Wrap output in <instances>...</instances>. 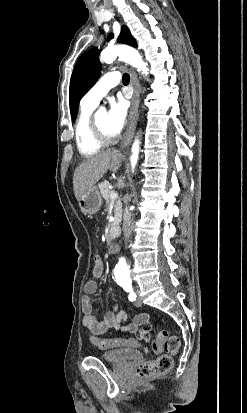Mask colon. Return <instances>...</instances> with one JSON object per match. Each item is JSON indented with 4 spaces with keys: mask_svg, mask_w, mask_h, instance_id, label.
Returning a JSON list of instances; mask_svg holds the SVG:
<instances>
[{
    "mask_svg": "<svg viewBox=\"0 0 247 413\" xmlns=\"http://www.w3.org/2000/svg\"><path fill=\"white\" fill-rule=\"evenodd\" d=\"M103 269L104 266L101 264L100 259L95 257L92 262V275L100 276ZM91 342L100 349L113 347H139L141 345L140 340H134V338L102 340L92 337ZM165 342H171L173 344V349L168 351L169 355L181 354L178 337L171 336L169 332H156V336L151 338V343L154 347L152 349V354L158 357L154 361L144 363L137 369L135 375L136 381H151L152 376L163 374L171 370L173 364L172 358H167L165 353L163 354Z\"/></svg>",
    "mask_w": 247,
    "mask_h": 413,
    "instance_id": "1",
    "label": "colon"
}]
</instances>
